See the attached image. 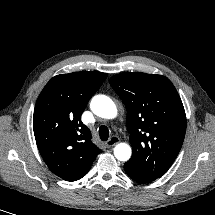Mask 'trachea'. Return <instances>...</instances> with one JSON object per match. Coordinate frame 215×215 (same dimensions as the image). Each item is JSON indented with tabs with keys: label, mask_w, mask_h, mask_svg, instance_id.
<instances>
[{
	"label": "trachea",
	"mask_w": 215,
	"mask_h": 215,
	"mask_svg": "<svg viewBox=\"0 0 215 215\" xmlns=\"http://www.w3.org/2000/svg\"><path fill=\"white\" fill-rule=\"evenodd\" d=\"M100 139L103 141H107L109 137V129L106 126H101L99 128Z\"/></svg>",
	"instance_id": "trachea-1"
}]
</instances>
